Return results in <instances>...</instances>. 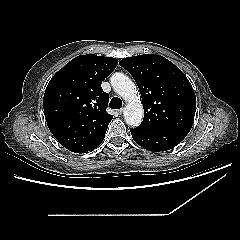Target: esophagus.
<instances>
[{
	"label": "esophagus",
	"instance_id": "esophagus-1",
	"mask_svg": "<svg viewBox=\"0 0 240 240\" xmlns=\"http://www.w3.org/2000/svg\"><path fill=\"white\" fill-rule=\"evenodd\" d=\"M117 113H118V115H122L123 114V109L117 110Z\"/></svg>",
	"mask_w": 240,
	"mask_h": 240
}]
</instances>
